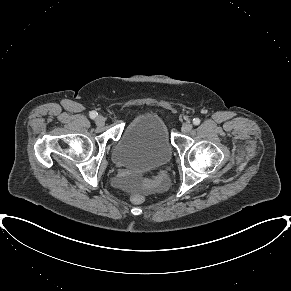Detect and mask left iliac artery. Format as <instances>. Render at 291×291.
<instances>
[{"label": "left iliac artery", "mask_w": 291, "mask_h": 291, "mask_svg": "<svg viewBox=\"0 0 291 291\" xmlns=\"http://www.w3.org/2000/svg\"><path fill=\"white\" fill-rule=\"evenodd\" d=\"M193 124L194 125H199L200 124V119L199 118H194L193 119Z\"/></svg>", "instance_id": "44dca946"}]
</instances>
